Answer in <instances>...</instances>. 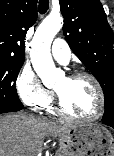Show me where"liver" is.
<instances>
[{
  "instance_id": "obj_1",
  "label": "liver",
  "mask_w": 114,
  "mask_h": 156,
  "mask_svg": "<svg viewBox=\"0 0 114 156\" xmlns=\"http://www.w3.org/2000/svg\"><path fill=\"white\" fill-rule=\"evenodd\" d=\"M72 127L22 112L0 115V156H37L46 137L60 138Z\"/></svg>"
}]
</instances>
